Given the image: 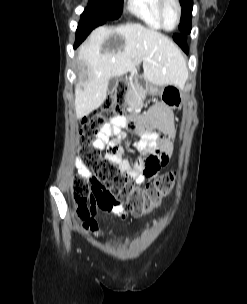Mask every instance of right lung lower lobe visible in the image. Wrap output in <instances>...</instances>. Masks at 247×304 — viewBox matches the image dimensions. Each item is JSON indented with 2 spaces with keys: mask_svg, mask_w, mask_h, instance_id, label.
Masks as SVG:
<instances>
[{
  "mask_svg": "<svg viewBox=\"0 0 247 304\" xmlns=\"http://www.w3.org/2000/svg\"><path fill=\"white\" fill-rule=\"evenodd\" d=\"M106 22V20H102V21H99L97 22L96 24H99V25H102ZM87 25H91V26H94L95 24H91L89 21L87 20H81L79 22V25H78V28H77V32H76V42H75V46L74 47H77L84 39L85 37L82 36L80 34V30H82L84 27H86ZM98 25V26H99Z\"/></svg>",
  "mask_w": 247,
  "mask_h": 304,
  "instance_id": "98d812e1",
  "label": "right lung lower lobe"
}]
</instances>
